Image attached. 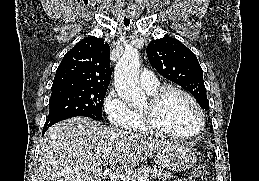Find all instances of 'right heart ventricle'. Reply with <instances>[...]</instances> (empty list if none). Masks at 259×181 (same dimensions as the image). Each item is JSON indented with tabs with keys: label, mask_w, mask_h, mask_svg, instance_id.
<instances>
[{
	"label": "right heart ventricle",
	"mask_w": 259,
	"mask_h": 181,
	"mask_svg": "<svg viewBox=\"0 0 259 181\" xmlns=\"http://www.w3.org/2000/svg\"><path fill=\"white\" fill-rule=\"evenodd\" d=\"M159 86L157 85L156 87L152 89H145V91L151 95L153 94ZM130 130L140 132V133H149L150 130L147 128L144 118L142 115V111H133V119H132V124L131 127L129 128Z\"/></svg>",
	"instance_id": "right-heart-ventricle-1"
}]
</instances>
